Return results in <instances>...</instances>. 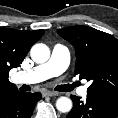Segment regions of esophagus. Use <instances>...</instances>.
Segmentation results:
<instances>
[{"label":"esophagus","instance_id":"34e87169","mask_svg":"<svg viewBox=\"0 0 118 118\" xmlns=\"http://www.w3.org/2000/svg\"><path fill=\"white\" fill-rule=\"evenodd\" d=\"M44 94L47 95V96L52 97V96H57L58 95V92H55V91H46Z\"/></svg>","mask_w":118,"mask_h":118}]
</instances>
